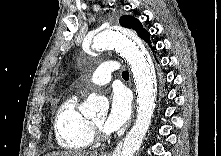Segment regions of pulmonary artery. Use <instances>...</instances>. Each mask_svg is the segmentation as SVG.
Listing matches in <instances>:
<instances>
[{"instance_id": "pulmonary-artery-1", "label": "pulmonary artery", "mask_w": 221, "mask_h": 156, "mask_svg": "<svg viewBox=\"0 0 221 156\" xmlns=\"http://www.w3.org/2000/svg\"><path fill=\"white\" fill-rule=\"evenodd\" d=\"M119 68V64L116 61L108 60L103 62L89 77L87 82L84 84V88L88 89L109 83L112 78V73L119 70Z\"/></svg>"}]
</instances>
